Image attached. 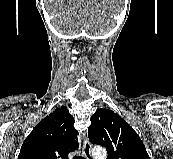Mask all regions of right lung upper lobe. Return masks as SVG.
Segmentation results:
<instances>
[{
	"label": "right lung upper lobe",
	"instance_id": "cb5924a9",
	"mask_svg": "<svg viewBox=\"0 0 173 159\" xmlns=\"http://www.w3.org/2000/svg\"><path fill=\"white\" fill-rule=\"evenodd\" d=\"M74 118L62 106L41 120L22 144L18 159H68L78 147Z\"/></svg>",
	"mask_w": 173,
	"mask_h": 159
}]
</instances>
